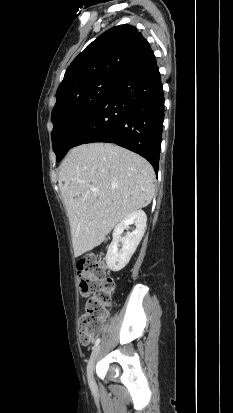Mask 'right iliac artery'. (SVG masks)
Listing matches in <instances>:
<instances>
[{"mask_svg": "<svg viewBox=\"0 0 233 413\" xmlns=\"http://www.w3.org/2000/svg\"><path fill=\"white\" fill-rule=\"evenodd\" d=\"M99 343H100V338H98V339L95 341V344H94L93 349L96 348V347L99 345Z\"/></svg>", "mask_w": 233, "mask_h": 413, "instance_id": "1", "label": "right iliac artery"}]
</instances>
